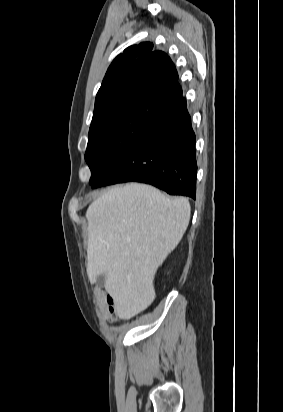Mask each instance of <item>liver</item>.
<instances>
[{
  "mask_svg": "<svg viewBox=\"0 0 283 412\" xmlns=\"http://www.w3.org/2000/svg\"><path fill=\"white\" fill-rule=\"evenodd\" d=\"M86 218L88 278L104 274L119 318L130 319L153 302L154 276L188 227L189 201L129 183L98 197Z\"/></svg>",
  "mask_w": 283,
  "mask_h": 412,
  "instance_id": "obj_1",
  "label": "liver"
}]
</instances>
